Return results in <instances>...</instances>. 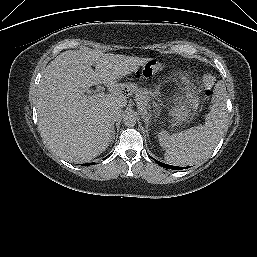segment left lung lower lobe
Instances as JSON below:
<instances>
[{
    "label": "left lung lower lobe",
    "mask_w": 257,
    "mask_h": 257,
    "mask_svg": "<svg viewBox=\"0 0 257 257\" xmlns=\"http://www.w3.org/2000/svg\"><path fill=\"white\" fill-rule=\"evenodd\" d=\"M155 160V159H154ZM155 162L160 165L161 167H164V168H168V169H183V167H177V166H172V165H167V164H164V163H161L157 160H155ZM184 168H188V167H184Z\"/></svg>",
    "instance_id": "left-lung-lower-lobe-1"
}]
</instances>
